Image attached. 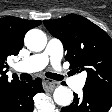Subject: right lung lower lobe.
I'll return each mask as SVG.
<instances>
[{
    "label": "right lung lower lobe",
    "instance_id": "right-lung-lower-lobe-1",
    "mask_svg": "<svg viewBox=\"0 0 112 112\" xmlns=\"http://www.w3.org/2000/svg\"><path fill=\"white\" fill-rule=\"evenodd\" d=\"M40 92H43L41 78L28 83L19 82L12 88L0 112H33V96Z\"/></svg>",
    "mask_w": 112,
    "mask_h": 112
}]
</instances>
